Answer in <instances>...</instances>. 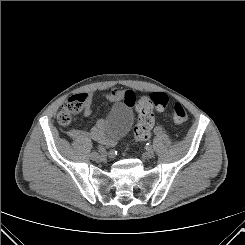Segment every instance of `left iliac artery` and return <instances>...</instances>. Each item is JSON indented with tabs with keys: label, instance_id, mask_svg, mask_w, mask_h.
<instances>
[{
	"label": "left iliac artery",
	"instance_id": "left-iliac-artery-1",
	"mask_svg": "<svg viewBox=\"0 0 245 245\" xmlns=\"http://www.w3.org/2000/svg\"><path fill=\"white\" fill-rule=\"evenodd\" d=\"M154 130H155V132H156L157 134H160V133L162 132L163 129H162L161 126L158 125V126L155 127Z\"/></svg>",
	"mask_w": 245,
	"mask_h": 245
}]
</instances>
